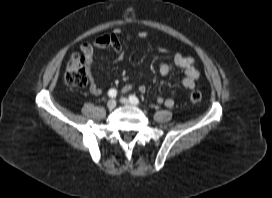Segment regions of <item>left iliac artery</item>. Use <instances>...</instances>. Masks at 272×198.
I'll return each instance as SVG.
<instances>
[{
	"instance_id": "1",
	"label": "left iliac artery",
	"mask_w": 272,
	"mask_h": 198,
	"mask_svg": "<svg viewBox=\"0 0 272 198\" xmlns=\"http://www.w3.org/2000/svg\"><path fill=\"white\" fill-rule=\"evenodd\" d=\"M129 100L132 104H135V105L139 104V99L135 95L129 96Z\"/></svg>"
}]
</instances>
